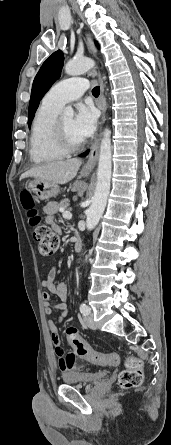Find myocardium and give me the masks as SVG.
Masks as SVG:
<instances>
[{
	"label": "myocardium",
	"mask_w": 171,
	"mask_h": 445,
	"mask_svg": "<svg viewBox=\"0 0 171 445\" xmlns=\"http://www.w3.org/2000/svg\"><path fill=\"white\" fill-rule=\"evenodd\" d=\"M52 135L56 146L65 154L79 151L84 146V141L74 144L65 135L60 118H56L52 125Z\"/></svg>",
	"instance_id": "myocardium-1"
}]
</instances>
